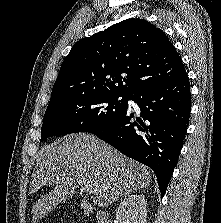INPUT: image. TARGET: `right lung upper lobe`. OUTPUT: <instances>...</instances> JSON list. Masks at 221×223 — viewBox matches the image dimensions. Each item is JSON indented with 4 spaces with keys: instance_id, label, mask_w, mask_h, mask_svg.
<instances>
[{
    "instance_id": "1",
    "label": "right lung upper lobe",
    "mask_w": 221,
    "mask_h": 223,
    "mask_svg": "<svg viewBox=\"0 0 221 223\" xmlns=\"http://www.w3.org/2000/svg\"><path fill=\"white\" fill-rule=\"evenodd\" d=\"M185 73L161 29L144 19H127L74 44L61 65L50 103L82 94L130 98Z\"/></svg>"
}]
</instances>
